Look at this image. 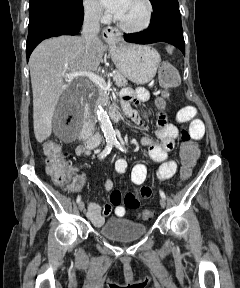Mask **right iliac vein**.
I'll return each mask as SVG.
<instances>
[{
	"mask_svg": "<svg viewBox=\"0 0 240 288\" xmlns=\"http://www.w3.org/2000/svg\"><path fill=\"white\" fill-rule=\"evenodd\" d=\"M78 207H79V210L80 211H83L84 210V208H85V205H84V202H79V205H78Z\"/></svg>",
	"mask_w": 240,
	"mask_h": 288,
	"instance_id": "1",
	"label": "right iliac vein"
}]
</instances>
